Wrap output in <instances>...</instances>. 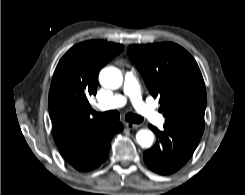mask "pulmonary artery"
Instances as JSON below:
<instances>
[{"label": "pulmonary artery", "instance_id": "pulmonary-artery-1", "mask_svg": "<svg viewBox=\"0 0 245 195\" xmlns=\"http://www.w3.org/2000/svg\"><path fill=\"white\" fill-rule=\"evenodd\" d=\"M124 95H114L113 97L98 104V109L109 110L122 107L129 99L136 111L151 123L161 126L164 123L163 117L150 105L146 104L141 96L140 88L135 75L132 72H126L124 77Z\"/></svg>", "mask_w": 245, "mask_h": 195}]
</instances>
